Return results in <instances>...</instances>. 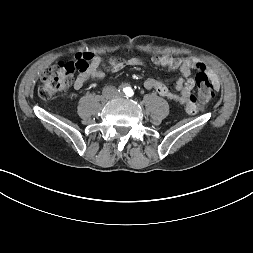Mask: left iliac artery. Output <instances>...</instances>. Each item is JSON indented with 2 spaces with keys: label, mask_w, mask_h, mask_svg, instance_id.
<instances>
[{
  "label": "left iliac artery",
  "mask_w": 253,
  "mask_h": 253,
  "mask_svg": "<svg viewBox=\"0 0 253 253\" xmlns=\"http://www.w3.org/2000/svg\"><path fill=\"white\" fill-rule=\"evenodd\" d=\"M125 94H126L127 96L131 97V96H133L134 92H133V90H132L130 87H127V88L125 89Z\"/></svg>",
  "instance_id": "1"
}]
</instances>
